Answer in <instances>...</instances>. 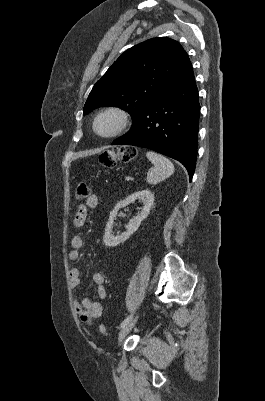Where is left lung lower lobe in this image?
I'll list each match as a JSON object with an SVG mask.
<instances>
[{"label":"left lung lower lobe","instance_id":"left-lung-lower-lobe-1","mask_svg":"<svg viewBox=\"0 0 265 401\" xmlns=\"http://www.w3.org/2000/svg\"><path fill=\"white\" fill-rule=\"evenodd\" d=\"M200 105L191 62L112 145L148 148L181 162L193 177Z\"/></svg>","mask_w":265,"mask_h":401}]
</instances>
